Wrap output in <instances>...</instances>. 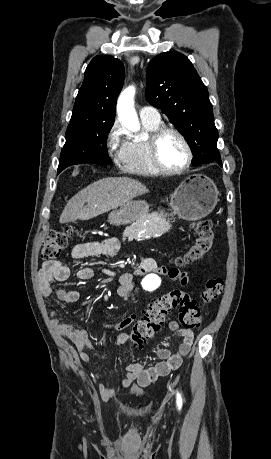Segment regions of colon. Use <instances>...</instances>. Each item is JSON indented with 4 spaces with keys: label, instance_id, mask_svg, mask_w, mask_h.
<instances>
[{
    "label": "colon",
    "instance_id": "1",
    "mask_svg": "<svg viewBox=\"0 0 271 459\" xmlns=\"http://www.w3.org/2000/svg\"><path fill=\"white\" fill-rule=\"evenodd\" d=\"M190 228L196 233L194 243L187 251L175 261L176 265L182 266L193 263L205 256L213 246L215 237L213 224L209 219H200L190 224ZM74 229L67 227L64 230L52 231L44 240L41 249V258L47 261L59 257L62 250L67 246ZM223 290L221 278H211L201 292L204 304L218 298ZM179 309L181 324L188 329L198 328L202 321V308L190 294L181 290L170 292L157 298L146 310L141 318L134 324L130 340L134 345L141 346L151 339L162 327L167 315L174 309Z\"/></svg>",
    "mask_w": 271,
    "mask_h": 459
}]
</instances>
